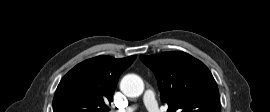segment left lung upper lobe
I'll use <instances>...</instances> for the list:
<instances>
[{"label":"left lung upper lobe","mask_w":270,"mask_h":112,"mask_svg":"<svg viewBox=\"0 0 270 112\" xmlns=\"http://www.w3.org/2000/svg\"><path fill=\"white\" fill-rule=\"evenodd\" d=\"M140 59L154 72L167 112H220L217 84L198 59L182 51Z\"/></svg>","instance_id":"1"}]
</instances>
